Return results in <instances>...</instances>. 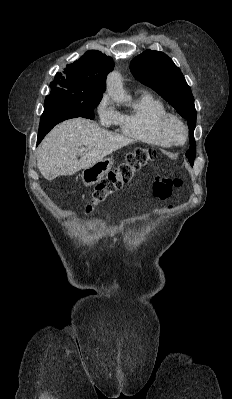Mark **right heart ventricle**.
Here are the masks:
<instances>
[{"instance_id":"obj_1","label":"right heart ventricle","mask_w":232,"mask_h":399,"mask_svg":"<svg viewBox=\"0 0 232 399\" xmlns=\"http://www.w3.org/2000/svg\"><path fill=\"white\" fill-rule=\"evenodd\" d=\"M167 112L165 105L152 96L145 95L129 114L120 115L118 131L134 142L168 149L172 144L158 131L157 120Z\"/></svg>"}]
</instances>
